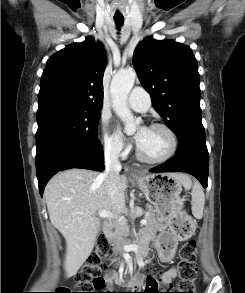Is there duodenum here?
Masks as SVG:
<instances>
[{"instance_id": "1", "label": "duodenum", "mask_w": 245, "mask_h": 293, "mask_svg": "<svg viewBox=\"0 0 245 293\" xmlns=\"http://www.w3.org/2000/svg\"><path fill=\"white\" fill-rule=\"evenodd\" d=\"M103 232L105 235H111L113 232V221L106 222L103 227ZM145 254V245L140 244L139 246V256H143Z\"/></svg>"}]
</instances>
